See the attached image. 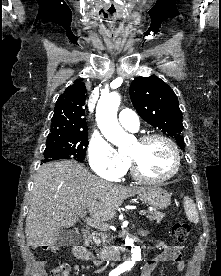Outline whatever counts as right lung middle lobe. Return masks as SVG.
<instances>
[{"mask_svg":"<svg viewBox=\"0 0 221 276\" xmlns=\"http://www.w3.org/2000/svg\"><path fill=\"white\" fill-rule=\"evenodd\" d=\"M88 146V134L47 137L43 163L59 159L83 161Z\"/></svg>","mask_w":221,"mask_h":276,"instance_id":"right-lung-middle-lobe-1","label":"right lung middle lobe"}]
</instances>
